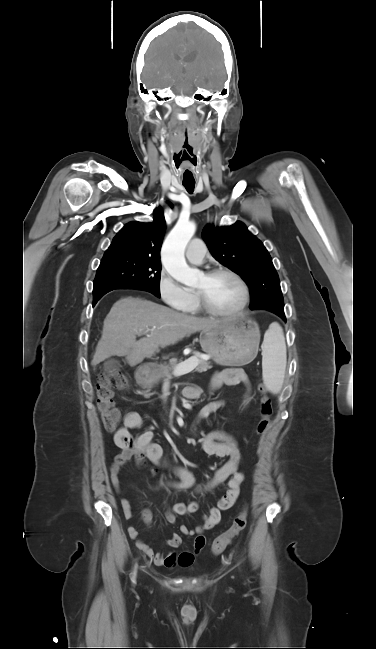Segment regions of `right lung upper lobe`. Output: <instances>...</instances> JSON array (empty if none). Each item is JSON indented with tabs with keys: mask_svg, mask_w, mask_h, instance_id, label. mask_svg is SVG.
Here are the masks:
<instances>
[{
	"mask_svg": "<svg viewBox=\"0 0 376 649\" xmlns=\"http://www.w3.org/2000/svg\"><path fill=\"white\" fill-rule=\"evenodd\" d=\"M165 232L162 209L154 211L152 223L138 221L126 224L114 237L104 255L130 253L160 258V249Z\"/></svg>",
	"mask_w": 376,
	"mask_h": 649,
	"instance_id": "right-lung-upper-lobe-1",
	"label": "right lung upper lobe"
}]
</instances>
